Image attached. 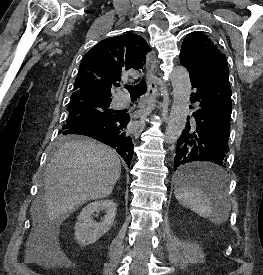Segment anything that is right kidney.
<instances>
[{
	"label": "right kidney",
	"instance_id": "obj_1",
	"mask_svg": "<svg viewBox=\"0 0 263 275\" xmlns=\"http://www.w3.org/2000/svg\"><path fill=\"white\" fill-rule=\"evenodd\" d=\"M105 210L106 215L102 222H95L92 215ZM116 215V204L113 200H99L88 204L82 209L75 225V239L81 246L95 243L113 225Z\"/></svg>",
	"mask_w": 263,
	"mask_h": 275
}]
</instances>
